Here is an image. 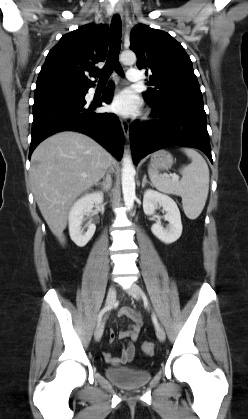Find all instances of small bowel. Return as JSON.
<instances>
[{"instance_id": "1", "label": "small bowel", "mask_w": 248, "mask_h": 419, "mask_svg": "<svg viewBox=\"0 0 248 419\" xmlns=\"http://www.w3.org/2000/svg\"><path fill=\"white\" fill-rule=\"evenodd\" d=\"M118 316L120 318H126L130 321V324L126 329L120 330L116 334L113 330H109L108 339L114 341L116 337L125 341V345L119 356H114L109 352L104 353L105 361L112 366H121L131 362L136 354V348L134 343L139 337V333L142 327V316L140 312L134 310L131 307H122Z\"/></svg>"}]
</instances>
